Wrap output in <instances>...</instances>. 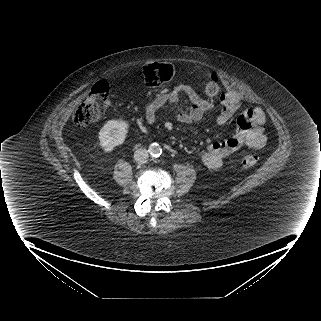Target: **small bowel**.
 <instances>
[{
  "mask_svg": "<svg viewBox=\"0 0 321 321\" xmlns=\"http://www.w3.org/2000/svg\"><path fill=\"white\" fill-rule=\"evenodd\" d=\"M186 96L191 102L188 112L179 111L174 114L176 121L180 123L200 122L212 109L213 103L188 85L180 84L169 92L150 100L145 108V120L148 124H154L159 117L160 110L166 106L179 102ZM221 110L216 118L218 124L230 122L239 112L242 106V97L236 92H226L221 100ZM266 116L264 111L254 106L243 110L237 118L236 131L233 136L223 141L210 143L198 153L200 161L209 169L215 170L221 167L224 159L242 146L254 150L263 148L267 138L264 132Z\"/></svg>",
  "mask_w": 321,
  "mask_h": 321,
  "instance_id": "obj_1",
  "label": "small bowel"
}]
</instances>
